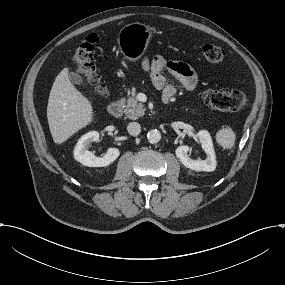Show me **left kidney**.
Masks as SVG:
<instances>
[{
  "mask_svg": "<svg viewBox=\"0 0 285 285\" xmlns=\"http://www.w3.org/2000/svg\"><path fill=\"white\" fill-rule=\"evenodd\" d=\"M198 137L201 142V146L207 158L205 160H193L188 156L189 147L179 146L175 153L177 158L182 162L184 166L195 171H214L216 169V155L213 148L212 138L207 130H200Z\"/></svg>",
  "mask_w": 285,
  "mask_h": 285,
  "instance_id": "1",
  "label": "left kidney"
}]
</instances>
